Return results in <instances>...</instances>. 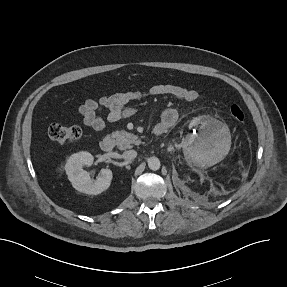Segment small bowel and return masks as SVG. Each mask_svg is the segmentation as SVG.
<instances>
[{
    "label": "small bowel",
    "mask_w": 287,
    "mask_h": 287,
    "mask_svg": "<svg viewBox=\"0 0 287 287\" xmlns=\"http://www.w3.org/2000/svg\"><path fill=\"white\" fill-rule=\"evenodd\" d=\"M169 96L191 103L198 99L196 90L176 84H154L146 90H129L113 95L100 96L97 99H87L78 108L83 123L95 131H103L108 123H114L135 112L131 105L133 101L149 97ZM106 111L103 114V111ZM178 120L175 108L165 109L155 128L162 126L164 131L172 127Z\"/></svg>",
    "instance_id": "1"
}]
</instances>
